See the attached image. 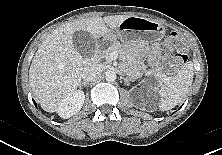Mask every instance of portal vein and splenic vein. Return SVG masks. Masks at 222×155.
Returning a JSON list of instances; mask_svg holds the SVG:
<instances>
[{
    "label": "portal vein and splenic vein",
    "instance_id": "portal-vein-and-splenic-vein-1",
    "mask_svg": "<svg viewBox=\"0 0 222 155\" xmlns=\"http://www.w3.org/2000/svg\"><path fill=\"white\" fill-rule=\"evenodd\" d=\"M117 58H118V52L113 51V52L110 54V60H116Z\"/></svg>",
    "mask_w": 222,
    "mask_h": 155
}]
</instances>
